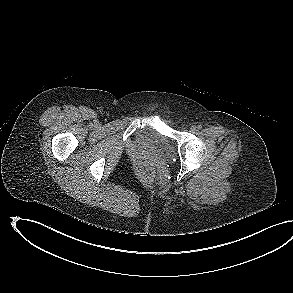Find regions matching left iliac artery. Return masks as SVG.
<instances>
[{
	"instance_id": "obj_1",
	"label": "left iliac artery",
	"mask_w": 293,
	"mask_h": 293,
	"mask_svg": "<svg viewBox=\"0 0 293 293\" xmlns=\"http://www.w3.org/2000/svg\"><path fill=\"white\" fill-rule=\"evenodd\" d=\"M197 128H198V129H201V128H202V125H198Z\"/></svg>"
}]
</instances>
